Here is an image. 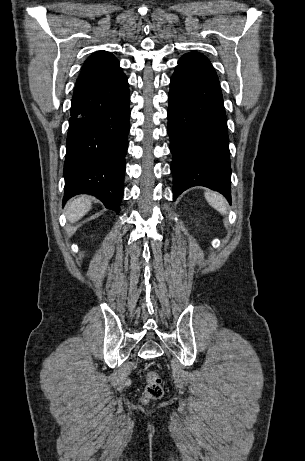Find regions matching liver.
Segmentation results:
<instances>
[{"mask_svg":"<svg viewBox=\"0 0 305 461\" xmlns=\"http://www.w3.org/2000/svg\"><path fill=\"white\" fill-rule=\"evenodd\" d=\"M91 209V200L86 196L77 197L66 206V215L71 223L77 222Z\"/></svg>","mask_w":305,"mask_h":461,"instance_id":"liver-1","label":"liver"}]
</instances>
